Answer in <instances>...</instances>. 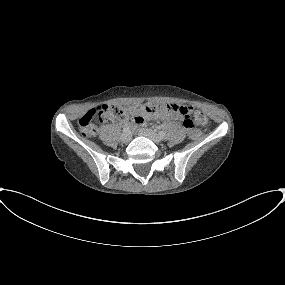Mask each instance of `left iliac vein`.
<instances>
[{"instance_id": "left-iliac-vein-1", "label": "left iliac vein", "mask_w": 285, "mask_h": 285, "mask_svg": "<svg viewBox=\"0 0 285 285\" xmlns=\"http://www.w3.org/2000/svg\"><path fill=\"white\" fill-rule=\"evenodd\" d=\"M141 134L149 139H151L155 143L161 142L162 138L156 134L154 131L151 129H142Z\"/></svg>"}]
</instances>
